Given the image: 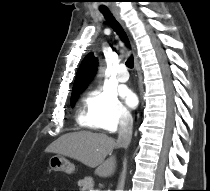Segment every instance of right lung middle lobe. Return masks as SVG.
Listing matches in <instances>:
<instances>
[{"label": "right lung middle lobe", "instance_id": "obj_1", "mask_svg": "<svg viewBox=\"0 0 210 191\" xmlns=\"http://www.w3.org/2000/svg\"><path fill=\"white\" fill-rule=\"evenodd\" d=\"M76 98H77V96L71 98V105H72V106L74 105Z\"/></svg>", "mask_w": 210, "mask_h": 191}]
</instances>
